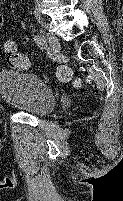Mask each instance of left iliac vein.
Segmentation results:
<instances>
[{"label":"left iliac vein","instance_id":"1","mask_svg":"<svg viewBox=\"0 0 123 201\" xmlns=\"http://www.w3.org/2000/svg\"><path fill=\"white\" fill-rule=\"evenodd\" d=\"M47 40H48V43H49V45L51 46L52 50H53L55 53H58L59 50H60L59 39H58L55 35L48 34V35H47Z\"/></svg>","mask_w":123,"mask_h":201}]
</instances>
